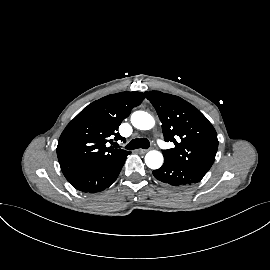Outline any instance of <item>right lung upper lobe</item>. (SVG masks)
Segmentation results:
<instances>
[{"label": "right lung upper lobe", "mask_w": 270, "mask_h": 270, "mask_svg": "<svg viewBox=\"0 0 270 270\" xmlns=\"http://www.w3.org/2000/svg\"><path fill=\"white\" fill-rule=\"evenodd\" d=\"M145 94L121 92L105 96L84 108L62 132L57 156L64 176L105 165L130 151L107 147L113 139L123 140L117 133L131 109L140 105Z\"/></svg>", "instance_id": "right-lung-upper-lobe-1"}]
</instances>
